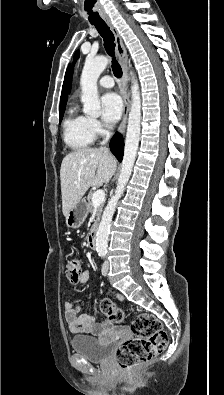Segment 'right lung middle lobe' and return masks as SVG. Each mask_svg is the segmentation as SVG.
Segmentation results:
<instances>
[{"label": "right lung middle lobe", "mask_w": 224, "mask_h": 395, "mask_svg": "<svg viewBox=\"0 0 224 395\" xmlns=\"http://www.w3.org/2000/svg\"><path fill=\"white\" fill-rule=\"evenodd\" d=\"M64 111H65V109H63V110H60V113H59L60 121H61V120H62V118H63Z\"/></svg>", "instance_id": "right-lung-middle-lobe-1"}]
</instances>
